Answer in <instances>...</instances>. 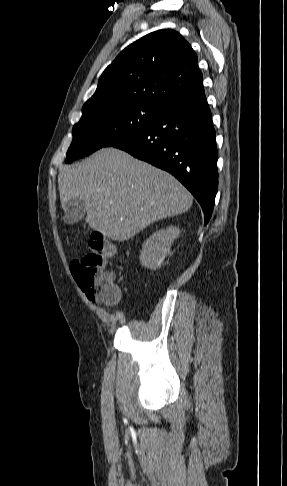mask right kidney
Segmentation results:
<instances>
[{
  "label": "right kidney",
  "instance_id": "right-kidney-1",
  "mask_svg": "<svg viewBox=\"0 0 287 486\" xmlns=\"http://www.w3.org/2000/svg\"><path fill=\"white\" fill-rule=\"evenodd\" d=\"M180 229L170 226L156 231L144 243L140 253L141 265L155 270L158 268L170 251L173 241L179 236Z\"/></svg>",
  "mask_w": 287,
  "mask_h": 486
}]
</instances>
